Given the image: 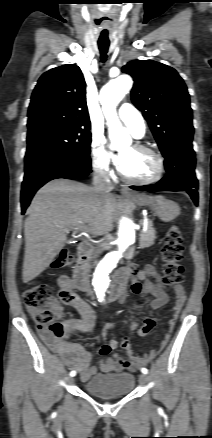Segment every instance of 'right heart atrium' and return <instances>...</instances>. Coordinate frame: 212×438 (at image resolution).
Here are the masks:
<instances>
[{"label": "right heart atrium", "mask_w": 212, "mask_h": 438, "mask_svg": "<svg viewBox=\"0 0 212 438\" xmlns=\"http://www.w3.org/2000/svg\"><path fill=\"white\" fill-rule=\"evenodd\" d=\"M91 165L96 174L108 177L112 173V161L101 138H93L90 144Z\"/></svg>", "instance_id": "right-heart-atrium-1"}]
</instances>
